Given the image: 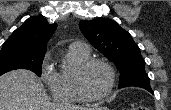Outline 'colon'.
Listing matches in <instances>:
<instances>
[{"label": "colon", "mask_w": 171, "mask_h": 110, "mask_svg": "<svg viewBox=\"0 0 171 110\" xmlns=\"http://www.w3.org/2000/svg\"><path fill=\"white\" fill-rule=\"evenodd\" d=\"M132 110H139L138 108H134V109H132Z\"/></svg>", "instance_id": "colon-1"}]
</instances>
